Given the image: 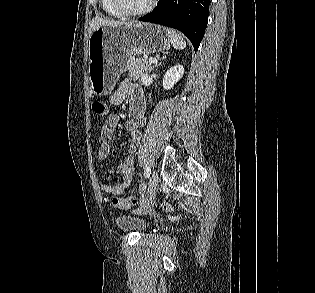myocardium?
Instances as JSON below:
<instances>
[{
    "label": "myocardium",
    "mask_w": 315,
    "mask_h": 293,
    "mask_svg": "<svg viewBox=\"0 0 315 293\" xmlns=\"http://www.w3.org/2000/svg\"><path fill=\"white\" fill-rule=\"evenodd\" d=\"M156 1L150 0L148 5L140 10H131L126 6L124 0H112L115 9L124 16H141L147 14L154 8Z\"/></svg>",
    "instance_id": "myocardium-1"
}]
</instances>
